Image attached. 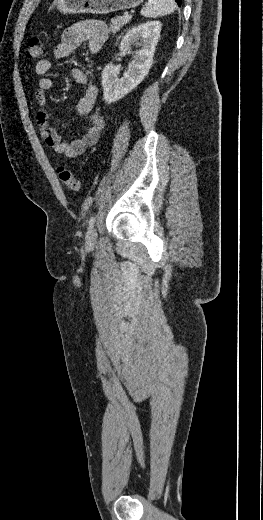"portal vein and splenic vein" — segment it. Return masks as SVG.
Returning <instances> with one entry per match:
<instances>
[{
	"label": "portal vein and splenic vein",
	"instance_id": "18ae733b",
	"mask_svg": "<svg viewBox=\"0 0 263 520\" xmlns=\"http://www.w3.org/2000/svg\"><path fill=\"white\" fill-rule=\"evenodd\" d=\"M131 17H132V15L129 14V13H126V14H125V19H131Z\"/></svg>",
	"mask_w": 263,
	"mask_h": 520
}]
</instances>
